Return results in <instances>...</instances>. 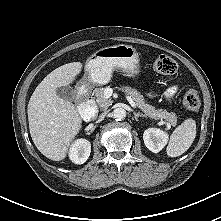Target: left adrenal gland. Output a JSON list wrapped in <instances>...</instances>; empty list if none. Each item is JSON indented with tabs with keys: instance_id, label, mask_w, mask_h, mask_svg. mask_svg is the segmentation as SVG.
Listing matches in <instances>:
<instances>
[{
	"instance_id": "a2214340",
	"label": "left adrenal gland",
	"mask_w": 221,
	"mask_h": 221,
	"mask_svg": "<svg viewBox=\"0 0 221 221\" xmlns=\"http://www.w3.org/2000/svg\"><path fill=\"white\" fill-rule=\"evenodd\" d=\"M133 114H134V118H135L136 121H138L139 117H146V115H144L142 113L133 112Z\"/></svg>"
}]
</instances>
